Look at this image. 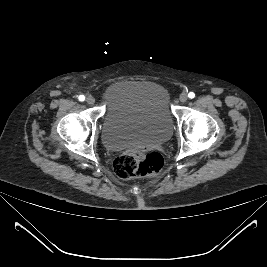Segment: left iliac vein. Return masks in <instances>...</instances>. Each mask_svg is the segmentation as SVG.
I'll return each instance as SVG.
<instances>
[{
  "instance_id": "obj_1",
  "label": "left iliac vein",
  "mask_w": 267,
  "mask_h": 267,
  "mask_svg": "<svg viewBox=\"0 0 267 267\" xmlns=\"http://www.w3.org/2000/svg\"><path fill=\"white\" fill-rule=\"evenodd\" d=\"M179 99H180V102L185 103L188 100V95L186 93H182Z\"/></svg>"
}]
</instances>
